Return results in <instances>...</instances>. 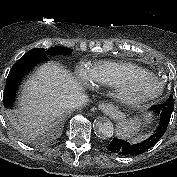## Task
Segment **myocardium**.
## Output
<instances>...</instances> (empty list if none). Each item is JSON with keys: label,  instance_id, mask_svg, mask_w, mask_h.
I'll use <instances>...</instances> for the list:
<instances>
[{"label": "myocardium", "instance_id": "1", "mask_svg": "<svg viewBox=\"0 0 177 177\" xmlns=\"http://www.w3.org/2000/svg\"><path fill=\"white\" fill-rule=\"evenodd\" d=\"M134 77L150 79L154 81L157 84V89L154 92L150 93H133L132 91L129 90L127 82L128 80ZM163 89L164 85L161 79L152 73H142L138 75L128 74L121 79L119 85L116 87V91L119 98L124 103L132 106H139L156 99L162 94Z\"/></svg>", "mask_w": 177, "mask_h": 177}]
</instances>
